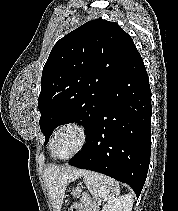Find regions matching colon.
I'll return each mask as SVG.
<instances>
[{"instance_id":"1","label":"colon","mask_w":178,"mask_h":211,"mask_svg":"<svg viewBox=\"0 0 178 211\" xmlns=\"http://www.w3.org/2000/svg\"><path fill=\"white\" fill-rule=\"evenodd\" d=\"M69 211H77V209H70Z\"/></svg>"}]
</instances>
